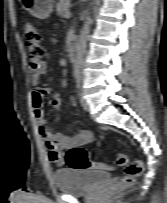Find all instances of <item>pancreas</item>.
<instances>
[{
	"mask_svg": "<svg viewBox=\"0 0 167 203\" xmlns=\"http://www.w3.org/2000/svg\"><path fill=\"white\" fill-rule=\"evenodd\" d=\"M70 6V0H60V2L56 4L57 14L65 16L66 12L69 11Z\"/></svg>",
	"mask_w": 167,
	"mask_h": 203,
	"instance_id": "1",
	"label": "pancreas"
}]
</instances>
